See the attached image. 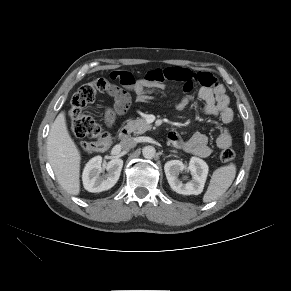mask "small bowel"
Wrapping results in <instances>:
<instances>
[{
	"label": "small bowel",
	"instance_id": "c3829d8e",
	"mask_svg": "<svg viewBox=\"0 0 291 291\" xmlns=\"http://www.w3.org/2000/svg\"><path fill=\"white\" fill-rule=\"evenodd\" d=\"M111 77L119 79L125 88L113 86L109 91L114 104L106 109L108 123H112L117 115H122L128 110L131 103L130 91L136 94V101L142 103L152 99L155 93L162 94L166 81L180 82L183 84L184 95L175 104V109L182 111L193 101L192 90L195 83H199L197 98L205 104L200 111L201 114L217 117L222 124V129L216 138L217 146L224 148L231 145L232 138L228 126L233 121V110L229 106V97L225 87L217 83L211 73L195 74L187 68L169 67L150 70L144 78L138 80L125 71L112 72ZM168 138L175 147L200 157H206L211 152L208 137L203 133H195L189 139L184 140L177 132L172 131Z\"/></svg>",
	"mask_w": 291,
	"mask_h": 291
}]
</instances>
